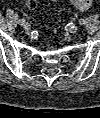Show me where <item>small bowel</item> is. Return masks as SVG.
Segmentation results:
<instances>
[{
  "instance_id": "c3829d8e",
  "label": "small bowel",
  "mask_w": 100,
  "mask_h": 118,
  "mask_svg": "<svg viewBox=\"0 0 100 118\" xmlns=\"http://www.w3.org/2000/svg\"><path fill=\"white\" fill-rule=\"evenodd\" d=\"M51 1L56 2L58 0H51ZM68 1H70L71 4L80 11L88 9L92 4V0H68Z\"/></svg>"
}]
</instances>
